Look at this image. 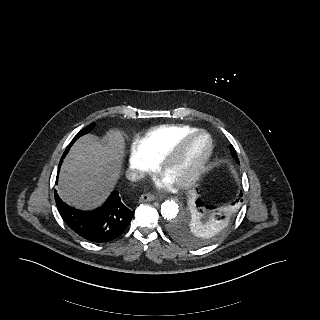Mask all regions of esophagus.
Returning a JSON list of instances; mask_svg holds the SVG:
<instances>
[{"label": "esophagus", "instance_id": "34e87169", "mask_svg": "<svg viewBox=\"0 0 320 320\" xmlns=\"http://www.w3.org/2000/svg\"><path fill=\"white\" fill-rule=\"evenodd\" d=\"M155 197L151 194L145 193L139 197V202H150L153 201Z\"/></svg>", "mask_w": 320, "mask_h": 320}]
</instances>
